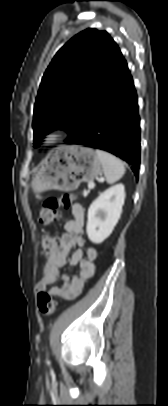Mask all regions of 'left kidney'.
I'll return each instance as SVG.
<instances>
[{"label": "left kidney", "mask_w": 168, "mask_h": 406, "mask_svg": "<svg viewBox=\"0 0 168 406\" xmlns=\"http://www.w3.org/2000/svg\"><path fill=\"white\" fill-rule=\"evenodd\" d=\"M125 200L123 184L114 185L102 192L90 205L86 232L91 242L100 244L114 230L122 213Z\"/></svg>", "instance_id": "obj_1"}]
</instances>
